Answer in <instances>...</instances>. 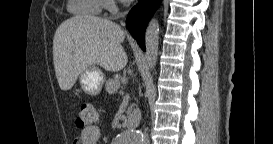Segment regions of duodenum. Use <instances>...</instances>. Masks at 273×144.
<instances>
[{
    "instance_id": "1",
    "label": "duodenum",
    "mask_w": 273,
    "mask_h": 144,
    "mask_svg": "<svg viewBox=\"0 0 273 144\" xmlns=\"http://www.w3.org/2000/svg\"><path fill=\"white\" fill-rule=\"evenodd\" d=\"M139 117L140 115L138 112L129 113L125 118V126L127 128H132L136 126L138 123Z\"/></svg>"
}]
</instances>
